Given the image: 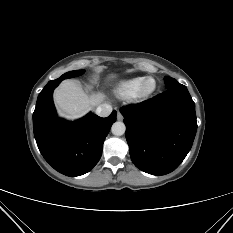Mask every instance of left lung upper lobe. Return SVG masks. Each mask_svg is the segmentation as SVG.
Instances as JSON below:
<instances>
[{"mask_svg": "<svg viewBox=\"0 0 233 233\" xmlns=\"http://www.w3.org/2000/svg\"><path fill=\"white\" fill-rule=\"evenodd\" d=\"M164 82L167 90L184 86L171 77H164Z\"/></svg>", "mask_w": 233, "mask_h": 233, "instance_id": "5c2ea615", "label": "left lung upper lobe"}]
</instances>
